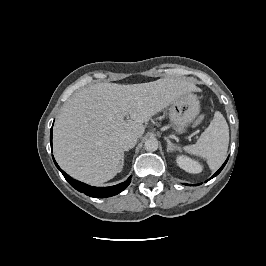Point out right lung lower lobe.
<instances>
[{"label":"right lung lower lobe","mask_w":266,"mask_h":266,"mask_svg":"<svg viewBox=\"0 0 266 266\" xmlns=\"http://www.w3.org/2000/svg\"><path fill=\"white\" fill-rule=\"evenodd\" d=\"M50 142L52 145V128L50 133ZM53 157V156H52ZM54 163L56 167L61 171L65 179L70 183L72 187H74L79 192H82L90 197L95 198H106L114 196L120 192H122L131 182V176L123 183L111 186V187H93L90 185H87L85 183H82L80 181L74 180L72 177L67 175L56 163L54 157H53Z\"/></svg>","instance_id":"obj_1"}]
</instances>
